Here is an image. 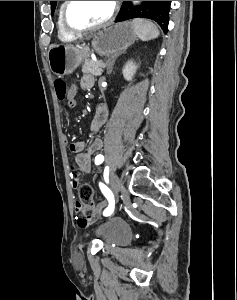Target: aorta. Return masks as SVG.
<instances>
[{"instance_id": "762f6f07", "label": "aorta", "mask_w": 237, "mask_h": 300, "mask_svg": "<svg viewBox=\"0 0 237 300\" xmlns=\"http://www.w3.org/2000/svg\"><path fill=\"white\" fill-rule=\"evenodd\" d=\"M133 3H139V1H133Z\"/></svg>"}]
</instances>
